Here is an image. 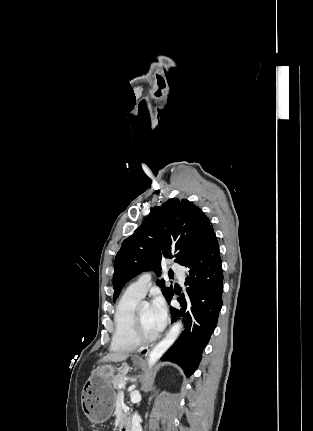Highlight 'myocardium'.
I'll return each mask as SVG.
<instances>
[{
  "instance_id": "f54148a6",
  "label": "myocardium",
  "mask_w": 313,
  "mask_h": 431,
  "mask_svg": "<svg viewBox=\"0 0 313 431\" xmlns=\"http://www.w3.org/2000/svg\"><path fill=\"white\" fill-rule=\"evenodd\" d=\"M141 307L142 305H137L133 315V324H132V336L134 341L138 345L148 344L155 341L159 337V332L147 336L143 333L142 330V319H141Z\"/></svg>"
}]
</instances>
